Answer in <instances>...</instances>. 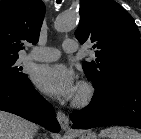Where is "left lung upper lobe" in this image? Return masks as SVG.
Masks as SVG:
<instances>
[{
  "label": "left lung upper lobe",
  "mask_w": 141,
  "mask_h": 139,
  "mask_svg": "<svg viewBox=\"0 0 141 139\" xmlns=\"http://www.w3.org/2000/svg\"><path fill=\"white\" fill-rule=\"evenodd\" d=\"M80 43H94L95 61L83 69L95 89L115 79L141 80V40L132 16L113 0H80Z\"/></svg>",
  "instance_id": "5c2ea615"
}]
</instances>
